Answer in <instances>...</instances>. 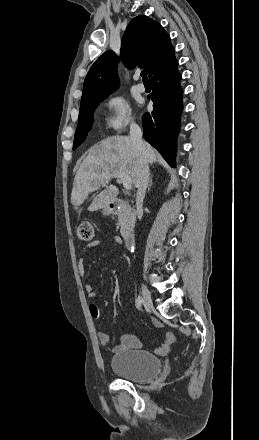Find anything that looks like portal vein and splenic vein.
<instances>
[{
	"label": "portal vein and splenic vein",
	"mask_w": 259,
	"mask_h": 440,
	"mask_svg": "<svg viewBox=\"0 0 259 440\" xmlns=\"http://www.w3.org/2000/svg\"><path fill=\"white\" fill-rule=\"evenodd\" d=\"M114 177L118 178L122 182L125 189L127 190L132 189V179L128 174L124 172H118L114 174Z\"/></svg>",
	"instance_id": "1"
}]
</instances>
